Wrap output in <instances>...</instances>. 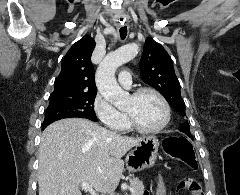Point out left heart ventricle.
<instances>
[{
	"label": "left heart ventricle",
	"instance_id": "obj_1",
	"mask_svg": "<svg viewBox=\"0 0 240 195\" xmlns=\"http://www.w3.org/2000/svg\"><path fill=\"white\" fill-rule=\"evenodd\" d=\"M124 110L130 111L143 127L158 126L163 119L162 105L159 99L151 93H145L137 99L130 97L126 101Z\"/></svg>",
	"mask_w": 240,
	"mask_h": 195
}]
</instances>
